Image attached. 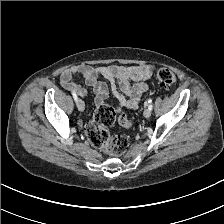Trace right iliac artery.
I'll list each match as a JSON object with an SVG mask.
<instances>
[{
	"mask_svg": "<svg viewBox=\"0 0 224 224\" xmlns=\"http://www.w3.org/2000/svg\"><path fill=\"white\" fill-rule=\"evenodd\" d=\"M72 95H73L75 102H77L78 101L77 94L74 91H72Z\"/></svg>",
	"mask_w": 224,
	"mask_h": 224,
	"instance_id": "1",
	"label": "right iliac artery"
}]
</instances>
